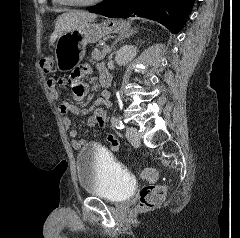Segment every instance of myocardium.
<instances>
[{
    "label": "myocardium",
    "instance_id": "obj_1",
    "mask_svg": "<svg viewBox=\"0 0 240 238\" xmlns=\"http://www.w3.org/2000/svg\"><path fill=\"white\" fill-rule=\"evenodd\" d=\"M63 4L66 5H71V6H93V5H97L101 2H103L104 0H90L87 2H76V1H71V0H61Z\"/></svg>",
    "mask_w": 240,
    "mask_h": 238
}]
</instances>
